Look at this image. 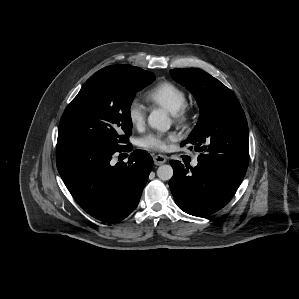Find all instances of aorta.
<instances>
[{
    "label": "aorta",
    "instance_id": "762f6f07",
    "mask_svg": "<svg viewBox=\"0 0 299 299\" xmlns=\"http://www.w3.org/2000/svg\"><path fill=\"white\" fill-rule=\"evenodd\" d=\"M148 124L159 131L165 132L170 129L171 121L164 110H154L148 116ZM157 176L163 181L170 180L173 176L171 165H161L157 169Z\"/></svg>",
    "mask_w": 299,
    "mask_h": 299
}]
</instances>
